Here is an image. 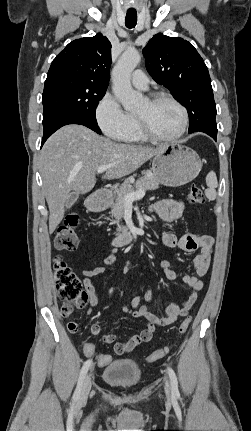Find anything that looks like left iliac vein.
<instances>
[{
	"instance_id": "4c4485c4",
	"label": "left iliac vein",
	"mask_w": 251,
	"mask_h": 431,
	"mask_svg": "<svg viewBox=\"0 0 251 431\" xmlns=\"http://www.w3.org/2000/svg\"><path fill=\"white\" fill-rule=\"evenodd\" d=\"M164 389H165L166 396L168 398H170V396H171V387H170V383H169L168 380H165Z\"/></svg>"
}]
</instances>
